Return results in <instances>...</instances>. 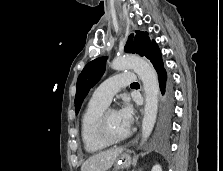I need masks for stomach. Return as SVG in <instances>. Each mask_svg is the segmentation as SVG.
Instances as JSON below:
<instances>
[{
    "mask_svg": "<svg viewBox=\"0 0 223 171\" xmlns=\"http://www.w3.org/2000/svg\"><path fill=\"white\" fill-rule=\"evenodd\" d=\"M131 164V157L127 153H121L115 163V169L127 168ZM116 171V170H115Z\"/></svg>",
    "mask_w": 223,
    "mask_h": 171,
    "instance_id": "stomach-1",
    "label": "stomach"
}]
</instances>
